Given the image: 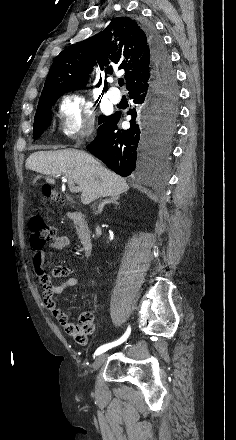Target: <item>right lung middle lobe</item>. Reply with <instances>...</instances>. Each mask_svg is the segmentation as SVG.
<instances>
[{"mask_svg":"<svg viewBox=\"0 0 236 440\" xmlns=\"http://www.w3.org/2000/svg\"><path fill=\"white\" fill-rule=\"evenodd\" d=\"M59 94L47 96L39 100L34 119L33 138H38L45 128L49 125L51 119V105L60 97ZM153 94L155 100L160 104L158 112L159 142L164 145V153L156 159V164H160L168 153V142L173 133V122L177 112L178 88L176 83L168 82L158 85L154 88ZM106 116L99 117V124L105 120Z\"/></svg>","mask_w":236,"mask_h":440,"instance_id":"1","label":"right lung middle lobe"}]
</instances>
